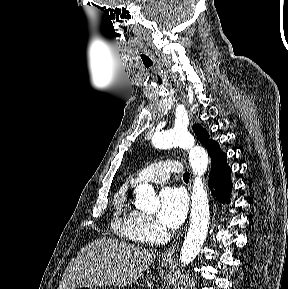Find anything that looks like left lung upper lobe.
I'll return each mask as SVG.
<instances>
[{
  "label": "left lung upper lobe",
  "instance_id": "1",
  "mask_svg": "<svg viewBox=\"0 0 288 289\" xmlns=\"http://www.w3.org/2000/svg\"><path fill=\"white\" fill-rule=\"evenodd\" d=\"M198 140L207 148V150L215 143L214 140L209 138V134L206 129H203L199 124L192 126Z\"/></svg>",
  "mask_w": 288,
  "mask_h": 289
}]
</instances>
